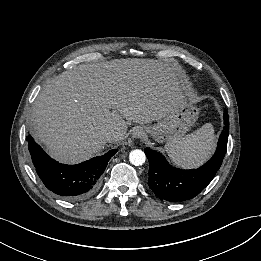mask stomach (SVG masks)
I'll list each match as a JSON object with an SVG mask.
<instances>
[{
  "instance_id": "0dacf381",
  "label": "stomach",
  "mask_w": 261,
  "mask_h": 261,
  "mask_svg": "<svg viewBox=\"0 0 261 261\" xmlns=\"http://www.w3.org/2000/svg\"><path fill=\"white\" fill-rule=\"evenodd\" d=\"M198 118L199 110L184 101L156 124L146 127V131L157 142H169L183 137Z\"/></svg>"
}]
</instances>
